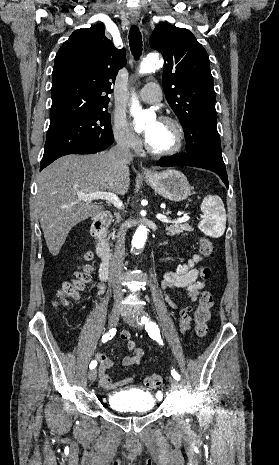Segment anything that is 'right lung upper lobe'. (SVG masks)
<instances>
[{
	"label": "right lung upper lobe",
	"mask_w": 279,
	"mask_h": 465,
	"mask_svg": "<svg viewBox=\"0 0 279 465\" xmlns=\"http://www.w3.org/2000/svg\"><path fill=\"white\" fill-rule=\"evenodd\" d=\"M125 64V49L114 47L103 25L74 31L56 54L50 124L107 107L112 83Z\"/></svg>",
	"instance_id": "1"
}]
</instances>
